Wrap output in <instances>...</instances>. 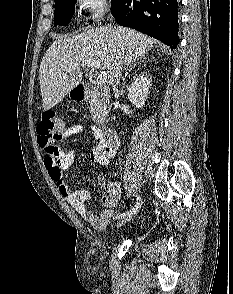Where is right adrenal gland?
I'll return each instance as SVG.
<instances>
[{"mask_svg": "<svg viewBox=\"0 0 233 294\" xmlns=\"http://www.w3.org/2000/svg\"><path fill=\"white\" fill-rule=\"evenodd\" d=\"M140 62H143V61H137L136 63H134L128 70L127 72L125 73V76L123 77V81H125L126 77L128 76L129 72L134 68L136 67V65Z\"/></svg>", "mask_w": 233, "mask_h": 294, "instance_id": "obj_1", "label": "right adrenal gland"}]
</instances>
